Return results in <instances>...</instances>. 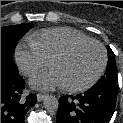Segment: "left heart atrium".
Returning a JSON list of instances; mask_svg holds the SVG:
<instances>
[{"label": "left heart atrium", "instance_id": "left-heart-atrium-1", "mask_svg": "<svg viewBox=\"0 0 123 123\" xmlns=\"http://www.w3.org/2000/svg\"><path fill=\"white\" fill-rule=\"evenodd\" d=\"M30 84L33 88L39 90H50L56 87L64 86L60 75L54 69L35 76L31 79Z\"/></svg>", "mask_w": 123, "mask_h": 123}]
</instances>
